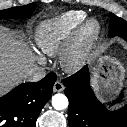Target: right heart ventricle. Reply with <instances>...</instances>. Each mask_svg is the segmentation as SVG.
I'll return each instance as SVG.
<instances>
[{"mask_svg": "<svg viewBox=\"0 0 127 127\" xmlns=\"http://www.w3.org/2000/svg\"><path fill=\"white\" fill-rule=\"evenodd\" d=\"M86 19L83 11L71 10L42 21L35 31V42L40 53L59 54L75 29Z\"/></svg>", "mask_w": 127, "mask_h": 127, "instance_id": "obj_1", "label": "right heart ventricle"}]
</instances>
